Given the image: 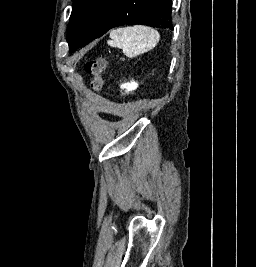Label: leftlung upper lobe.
I'll return each mask as SVG.
<instances>
[{"mask_svg": "<svg viewBox=\"0 0 256 267\" xmlns=\"http://www.w3.org/2000/svg\"><path fill=\"white\" fill-rule=\"evenodd\" d=\"M171 4L172 0H74L67 29L69 52L117 26L144 24L173 30Z\"/></svg>", "mask_w": 256, "mask_h": 267, "instance_id": "left-lung-upper-lobe-1", "label": "left lung upper lobe"}]
</instances>
